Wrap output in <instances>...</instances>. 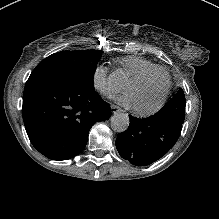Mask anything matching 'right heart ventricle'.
<instances>
[{"instance_id":"obj_1","label":"right heart ventricle","mask_w":219,"mask_h":219,"mask_svg":"<svg viewBox=\"0 0 219 219\" xmlns=\"http://www.w3.org/2000/svg\"><path fill=\"white\" fill-rule=\"evenodd\" d=\"M118 76L121 82L129 87L144 72L158 66L156 62L141 56H130L120 62Z\"/></svg>"}]
</instances>
